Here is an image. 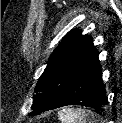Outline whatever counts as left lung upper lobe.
I'll use <instances>...</instances> for the list:
<instances>
[{"label": "left lung upper lobe", "instance_id": "5c2ea615", "mask_svg": "<svg viewBox=\"0 0 122 123\" xmlns=\"http://www.w3.org/2000/svg\"><path fill=\"white\" fill-rule=\"evenodd\" d=\"M98 52L89 35L80 30L68 33L49 58L46 69L38 80L30 115L48 110L65 92L72 79Z\"/></svg>", "mask_w": 122, "mask_h": 123}]
</instances>
